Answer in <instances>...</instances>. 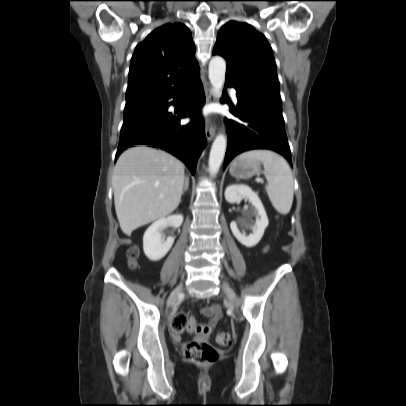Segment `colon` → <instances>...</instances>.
<instances>
[{
	"label": "colon",
	"mask_w": 406,
	"mask_h": 406,
	"mask_svg": "<svg viewBox=\"0 0 406 406\" xmlns=\"http://www.w3.org/2000/svg\"><path fill=\"white\" fill-rule=\"evenodd\" d=\"M128 257L131 264L135 265L136 258L138 257L137 248H130L128 250ZM171 328L175 333L179 334L183 332L203 333L209 331L208 326L197 323L191 315L184 312H179L173 316ZM216 341L220 345H228L232 341V337L228 333L220 332L216 335ZM184 355L187 360L198 365L213 364L218 358V353L213 345L204 340L187 342L184 347Z\"/></svg>",
	"instance_id": "obj_1"
}]
</instances>
